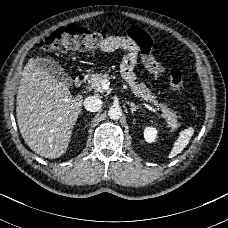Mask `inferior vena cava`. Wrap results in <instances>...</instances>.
I'll use <instances>...</instances> for the list:
<instances>
[{
    "label": "inferior vena cava",
    "instance_id": "1",
    "mask_svg": "<svg viewBox=\"0 0 228 228\" xmlns=\"http://www.w3.org/2000/svg\"><path fill=\"white\" fill-rule=\"evenodd\" d=\"M102 107V102L98 97H87L84 100V108L90 112H97Z\"/></svg>",
    "mask_w": 228,
    "mask_h": 228
}]
</instances>
